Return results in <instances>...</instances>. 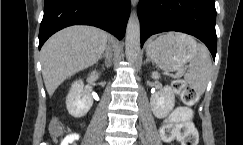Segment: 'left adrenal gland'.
Wrapping results in <instances>:
<instances>
[{"instance_id":"1","label":"left adrenal gland","mask_w":243,"mask_h":145,"mask_svg":"<svg viewBox=\"0 0 243 145\" xmlns=\"http://www.w3.org/2000/svg\"><path fill=\"white\" fill-rule=\"evenodd\" d=\"M148 62H150L149 57H147V59L145 60L144 64H147Z\"/></svg>"}]
</instances>
